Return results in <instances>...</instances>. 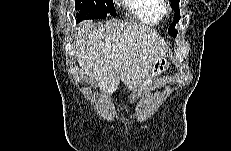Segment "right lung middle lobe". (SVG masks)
<instances>
[{
	"label": "right lung middle lobe",
	"instance_id": "dd1d6c3e",
	"mask_svg": "<svg viewBox=\"0 0 231 151\" xmlns=\"http://www.w3.org/2000/svg\"><path fill=\"white\" fill-rule=\"evenodd\" d=\"M78 21L85 19H105L107 15L116 16L113 0H75Z\"/></svg>",
	"mask_w": 231,
	"mask_h": 151
}]
</instances>
